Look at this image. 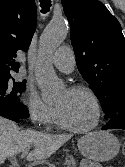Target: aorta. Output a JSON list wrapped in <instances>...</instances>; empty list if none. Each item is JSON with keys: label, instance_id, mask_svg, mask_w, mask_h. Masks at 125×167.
Here are the masks:
<instances>
[{"label": "aorta", "instance_id": "obj_1", "mask_svg": "<svg viewBox=\"0 0 125 167\" xmlns=\"http://www.w3.org/2000/svg\"><path fill=\"white\" fill-rule=\"evenodd\" d=\"M67 33L66 20L57 18L46 26L40 37V55L35 74L45 103L55 101L63 90V86L49 62V56L64 41Z\"/></svg>", "mask_w": 125, "mask_h": 167}]
</instances>
